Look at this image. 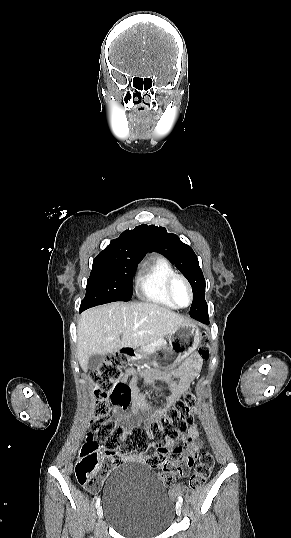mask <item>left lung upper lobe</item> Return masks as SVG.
<instances>
[{
    "instance_id": "left-lung-upper-lobe-1",
    "label": "left lung upper lobe",
    "mask_w": 291,
    "mask_h": 538,
    "mask_svg": "<svg viewBox=\"0 0 291 538\" xmlns=\"http://www.w3.org/2000/svg\"><path fill=\"white\" fill-rule=\"evenodd\" d=\"M151 249L162 253L189 281L193 291L190 316L200 308H207L205 301V279L193 249L180 241L179 237L167 233L164 227L149 226Z\"/></svg>"
}]
</instances>
